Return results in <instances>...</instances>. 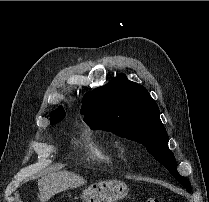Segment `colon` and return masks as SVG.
I'll list each match as a JSON object with an SVG mask.
<instances>
[{
	"label": "colon",
	"mask_w": 209,
	"mask_h": 202,
	"mask_svg": "<svg viewBox=\"0 0 209 202\" xmlns=\"http://www.w3.org/2000/svg\"><path fill=\"white\" fill-rule=\"evenodd\" d=\"M144 202H161V201L155 198H149V199H146Z\"/></svg>",
	"instance_id": "5ec220e1"
}]
</instances>
